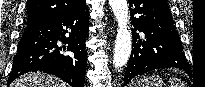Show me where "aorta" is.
<instances>
[{
	"label": "aorta",
	"mask_w": 205,
	"mask_h": 87,
	"mask_svg": "<svg viewBox=\"0 0 205 87\" xmlns=\"http://www.w3.org/2000/svg\"><path fill=\"white\" fill-rule=\"evenodd\" d=\"M109 5L118 23L113 63L114 67L119 69L127 64L132 48L131 33L128 28V5L127 0H109Z\"/></svg>",
	"instance_id": "1"
}]
</instances>
